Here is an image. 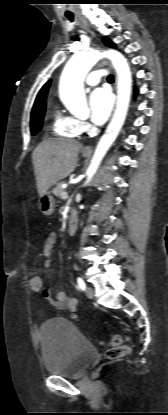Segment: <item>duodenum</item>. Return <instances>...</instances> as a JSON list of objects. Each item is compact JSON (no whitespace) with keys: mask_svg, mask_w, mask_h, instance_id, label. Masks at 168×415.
<instances>
[{"mask_svg":"<svg viewBox=\"0 0 168 415\" xmlns=\"http://www.w3.org/2000/svg\"><path fill=\"white\" fill-rule=\"evenodd\" d=\"M78 227V217L75 210H71L69 220L66 227L67 234H74Z\"/></svg>","mask_w":168,"mask_h":415,"instance_id":"1","label":"duodenum"}]
</instances>
